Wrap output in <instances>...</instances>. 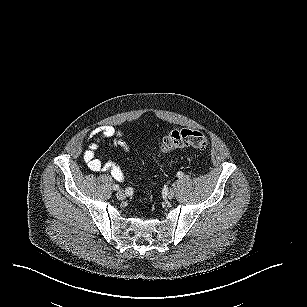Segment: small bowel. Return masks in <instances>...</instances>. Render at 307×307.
Wrapping results in <instances>:
<instances>
[{"mask_svg":"<svg viewBox=\"0 0 307 307\" xmlns=\"http://www.w3.org/2000/svg\"><path fill=\"white\" fill-rule=\"evenodd\" d=\"M120 137L121 132L111 125H101L96 127L89 134L91 141L83 152V160L91 171L110 172L115 180L121 182L125 179L122 169L112 162L103 163L96 157L98 146L103 140H111L112 145H121L128 150L127 146L120 139Z\"/></svg>","mask_w":307,"mask_h":307,"instance_id":"1","label":"small bowel"}]
</instances>
